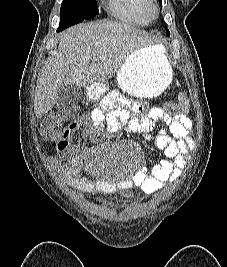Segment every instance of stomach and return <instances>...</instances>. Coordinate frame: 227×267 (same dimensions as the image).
<instances>
[{
    "mask_svg": "<svg viewBox=\"0 0 227 267\" xmlns=\"http://www.w3.org/2000/svg\"><path fill=\"white\" fill-rule=\"evenodd\" d=\"M119 88L135 97L151 98L163 92L172 80V68L157 45L134 51L117 73ZM106 90V85L87 87L89 99H96Z\"/></svg>",
    "mask_w": 227,
    "mask_h": 267,
    "instance_id": "0dacf381",
    "label": "stomach"
}]
</instances>
